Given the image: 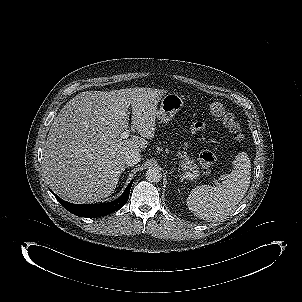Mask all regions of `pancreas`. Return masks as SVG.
Wrapping results in <instances>:
<instances>
[{"label":"pancreas","instance_id":"1","mask_svg":"<svg viewBox=\"0 0 302 302\" xmlns=\"http://www.w3.org/2000/svg\"><path fill=\"white\" fill-rule=\"evenodd\" d=\"M178 157L180 158L179 166L185 171H191L195 175H199V167L195 160L190 158L186 152L179 151Z\"/></svg>","mask_w":302,"mask_h":302}]
</instances>
